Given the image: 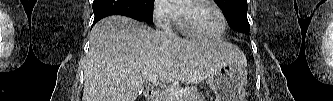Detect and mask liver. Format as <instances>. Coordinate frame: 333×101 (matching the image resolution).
<instances>
[{
	"mask_svg": "<svg viewBox=\"0 0 333 101\" xmlns=\"http://www.w3.org/2000/svg\"><path fill=\"white\" fill-rule=\"evenodd\" d=\"M237 47L225 42L170 38L124 16L102 19L92 29L83 101H136L149 75L163 82L199 84Z\"/></svg>",
	"mask_w": 333,
	"mask_h": 101,
	"instance_id": "6515ba94",
	"label": "liver"
}]
</instances>
